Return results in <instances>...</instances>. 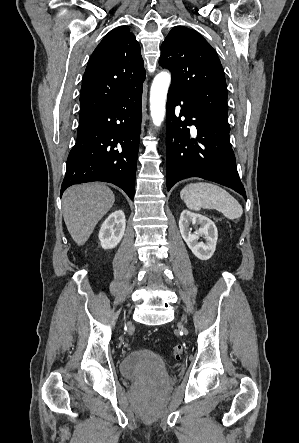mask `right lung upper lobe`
I'll return each mask as SVG.
<instances>
[{"instance_id": "right-lung-upper-lobe-1", "label": "right lung upper lobe", "mask_w": 299, "mask_h": 443, "mask_svg": "<svg viewBox=\"0 0 299 443\" xmlns=\"http://www.w3.org/2000/svg\"><path fill=\"white\" fill-rule=\"evenodd\" d=\"M145 69L139 43L127 27L110 31L91 55L80 93L82 121L140 87Z\"/></svg>"}]
</instances>
